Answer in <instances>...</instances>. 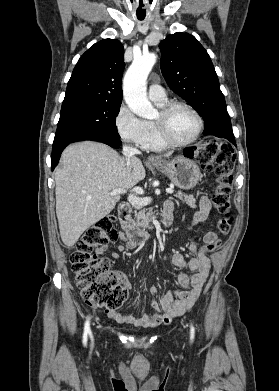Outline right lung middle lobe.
Instances as JSON below:
<instances>
[{
    "mask_svg": "<svg viewBox=\"0 0 279 391\" xmlns=\"http://www.w3.org/2000/svg\"><path fill=\"white\" fill-rule=\"evenodd\" d=\"M121 103H89L61 109L54 143L102 130L117 132L116 116Z\"/></svg>",
    "mask_w": 279,
    "mask_h": 391,
    "instance_id": "right-lung-middle-lobe-1",
    "label": "right lung middle lobe"
}]
</instances>
